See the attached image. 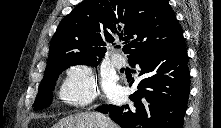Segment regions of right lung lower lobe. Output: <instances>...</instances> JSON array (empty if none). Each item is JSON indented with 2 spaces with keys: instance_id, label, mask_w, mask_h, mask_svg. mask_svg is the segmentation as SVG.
<instances>
[{
  "instance_id": "obj_1",
  "label": "right lung lower lobe",
  "mask_w": 221,
  "mask_h": 128,
  "mask_svg": "<svg viewBox=\"0 0 221 128\" xmlns=\"http://www.w3.org/2000/svg\"><path fill=\"white\" fill-rule=\"evenodd\" d=\"M187 62L183 37L172 46L133 58L129 63L138 64V75H144L129 96L133 104L103 105L97 111L122 128H182L190 92Z\"/></svg>"
}]
</instances>
